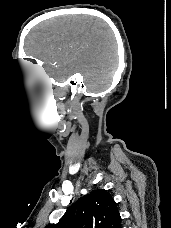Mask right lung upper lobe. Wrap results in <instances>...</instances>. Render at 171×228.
<instances>
[{
	"mask_svg": "<svg viewBox=\"0 0 171 228\" xmlns=\"http://www.w3.org/2000/svg\"><path fill=\"white\" fill-rule=\"evenodd\" d=\"M115 201L104 189L80 198L56 224L46 228H121Z\"/></svg>",
	"mask_w": 171,
	"mask_h": 228,
	"instance_id": "right-lung-upper-lobe-1",
	"label": "right lung upper lobe"
}]
</instances>
